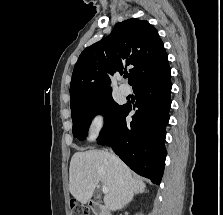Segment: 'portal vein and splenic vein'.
Returning <instances> with one entry per match:
<instances>
[{"label":"portal vein and splenic vein","instance_id":"1","mask_svg":"<svg viewBox=\"0 0 223 215\" xmlns=\"http://www.w3.org/2000/svg\"><path fill=\"white\" fill-rule=\"evenodd\" d=\"M102 191L103 193H108V187H106V185H102Z\"/></svg>","mask_w":223,"mask_h":215}]
</instances>
